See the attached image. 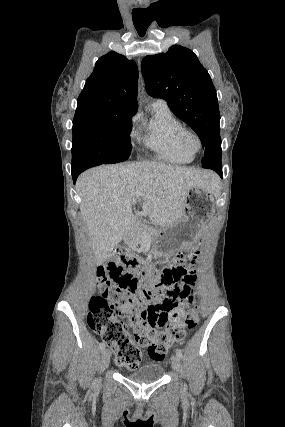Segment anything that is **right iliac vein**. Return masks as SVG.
I'll return each instance as SVG.
<instances>
[{"mask_svg": "<svg viewBox=\"0 0 285 427\" xmlns=\"http://www.w3.org/2000/svg\"><path fill=\"white\" fill-rule=\"evenodd\" d=\"M110 362V352L108 349L103 350L102 357H101V368L102 371H104L108 366Z\"/></svg>", "mask_w": 285, "mask_h": 427, "instance_id": "right-iliac-vein-1", "label": "right iliac vein"}]
</instances>
